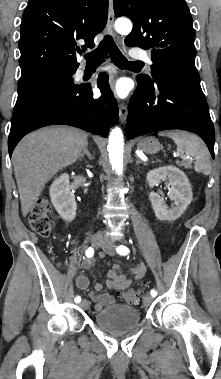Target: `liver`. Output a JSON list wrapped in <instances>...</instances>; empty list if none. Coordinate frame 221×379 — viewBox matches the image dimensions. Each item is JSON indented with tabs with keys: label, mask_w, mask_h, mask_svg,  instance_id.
<instances>
[{
	"label": "liver",
	"mask_w": 221,
	"mask_h": 379,
	"mask_svg": "<svg viewBox=\"0 0 221 379\" xmlns=\"http://www.w3.org/2000/svg\"><path fill=\"white\" fill-rule=\"evenodd\" d=\"M87 137L76 128L47 127L27 135L16 146L12 160L24 217L33 209L45 184L77 161Z\"/></svg>",
	"instance_id": "liver-1"
}]
</instances>
